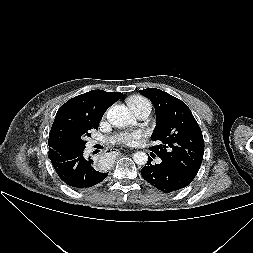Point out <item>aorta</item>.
Listing matches in <instances>:
<instances>
[{
  "label": "aorta",
  "instance_id": "obj_1",
  "mask_svg": "<svg viewBox=\"0 0 253 253\" xmlns=\"http://www.w3.org/2000/svg\"><path fill=\"white\" fill-rule=\"evenodd\" d=\"M107 120L115 127L121 128L132 123V116L128 109L123 105H114L107 112ZM133 160L137 165H145L148 156L144 152H136Z\"/></svg>",
  "mask_w": 253,
  "mask_h": 253
}]
</instances>
